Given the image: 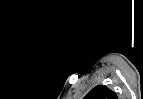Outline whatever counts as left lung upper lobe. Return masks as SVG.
<instances>
[{
    "instance_id": "1",
    "label": "left lung upper lobe",
    "mask_w": 143,
    "mask_h": 99,
    "mask_svg": "<svg viewBox=\"0 0 143 99\" xmlns=\"http://www.w3.org/2000/svg\"><path fill=\"white\" fill-rule=\"evenodd\" d=\"M84 99H117V95L105 85H98Z\"/></svg>"
}]
</instances>
